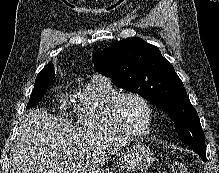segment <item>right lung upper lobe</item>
Segmentation results:
<instances>
[{
    "label": "right lung upper lobe",
    "instance_id": "right-lung-upper-lobe-1",
    "mask_svg": "<svg viewBox=\"0 0 219 173\" xmlns=\"http://www.w3.org/2000/svg\"><path fill=\"white\" fill-rule=\"evenodd\" d=\"M53 72H54V65L52 64V62H49L40 73H53Z\"/></svg>",
    "mask_w": 219,
    "mask_h": 173
}]
</instances>
